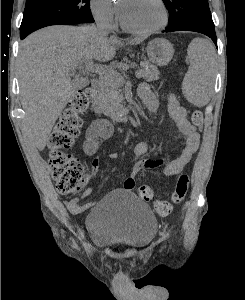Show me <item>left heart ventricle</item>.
Masks as SVG:
<instances>
[{
	"label": "left heart ventricle",
	"instance_id": "b2bd125f",
	"mask_svg": "<svg viewBox=\"0 0 245 300\" xmlns=\"http://www.w3.org/2000/svg\"><path fill=\"white\" fill-rule=\"evenodd\" d=\"M121 14L128 25L136 28H152L163 20V11L157 0H124Z\"/></svg>",
	"mask_w": 245,
	"mask_h": 300
}]
</instances>
